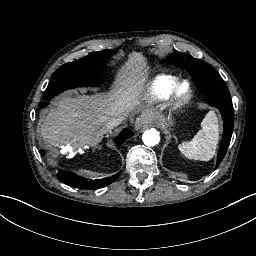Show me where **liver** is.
Here are the masks:
<instances>
[{
    "instance_id": "liver-1",
    "label": "liver",
    "mask_w": 256,
    "mask_h": 256,
    "mask_svg": "<svg viewBox=\"0 0 256 256\" xmlns=\"http://www.w3.org/2000/svg\"><path fill=\"white\" fill-rule=\"evenodd\" d=\"M148 69L142 53L133 51L108 93L59 97L39 125L41 136L56 147L96 146L109 132L106 124L110 119L127 116L147 99ZM142 117L153 121L158 118L151 112Z\"/></svg>"
}]
</instances>
